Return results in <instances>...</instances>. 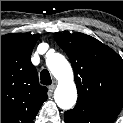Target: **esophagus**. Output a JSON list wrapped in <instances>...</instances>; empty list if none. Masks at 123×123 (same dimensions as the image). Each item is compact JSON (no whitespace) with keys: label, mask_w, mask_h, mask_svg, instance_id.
I'll list each match as a JSON object with an SVG mask.
<instances>
[{"label":"esophagus","mask_w":123,"mask_h":123,"mask_svg":"<svg viewBox=\"0 0 123 123\" xmlns=\"http://www.w3.org/2000/svg\"><path fill=\"white\" fill-rule=\"evenodd\" d=\"M56 85L57 81L53 80L52 84L49 86V91L53 92L55 90Z\"/></svg>","instance_id":"34e87169"}]
</instances>
